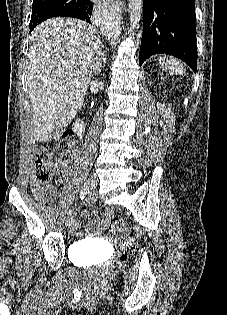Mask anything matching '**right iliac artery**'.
<instances>
[{"label":"right iliac artery","mask_w":227,"mask_h":315,"mask_svg":"<svg viewBox=\"0 0 227 315\" xmlns=\"http://www.w3.org/2000/svg\"><path fill=\"white\" fill-rule=\"evenodd\" d=\"M89 193V187L88 186H84L80 192V198L81 199H84L85 196ZM72 214V210L70 209L68 212H67V215H71Z\"/></svg>","instance_id":"1"}]
</instances>
